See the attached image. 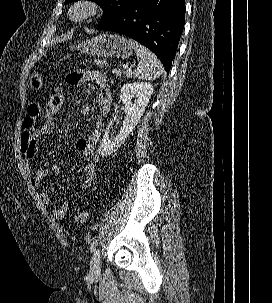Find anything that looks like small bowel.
I'll use <instances>...</instances> for the list:
<instances>
[{
	"instance_id": "obj_1",
	"label": "small bowel",
	"mask_w": 272,
	"mask_h": 303,
	"mask_svg": "<svg viewBox=\"0 0 272 303\" xmlns=\"http://www.w3.org/2000/svg\"><path fill=\"white\" fill-rule=\"evenodd\" d=\"M85 82H93L98 87L97 109L101 116L106 115L112 101L110 87L106 77L96 70H79L67 76V83L70 85H81ZM40 112L41 107L38 102L33 101L28 104L21 127L20 141L23 163L33 186L37 189L42 187L50 171L56 175L62 173V168L57 164H52L50 168L41 167L39 169H34L31 166L36 157V147L39 140L53 133L41 127H36ZM102 130L103 120L100 118L97 120L92 131L88 135L79 138L76 143L77 150L89 158V162H87L83 168L84 179L81 183V188L84 190L91 188L96 179V165L100 160L96 145L101 137ZM39 197L43 204H50L51 197L48 192L41 191ZM66 211L67 204L62 203L54 208L52 213L55 218L61 219L65 216Z\"/></svg>"
}]
</instances>
